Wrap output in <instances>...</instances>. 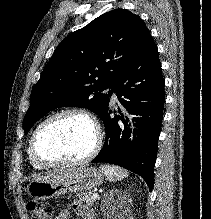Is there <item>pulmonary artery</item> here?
<instances>
[{"label": "pulmonary artery", "mask_w": 211, "mask_h": 219, "mask_svg": "<svg viewBox=\"0 0 211 219\" xmlns=\"http://www.w3.org/2000/svg\"><path fill=\"white\" fill-rule=\"evenodd\" d=\"M110 89H111V88H110ZM116 99H117L116 94L113 92V93H112V100H113V101H116Z\"/></svg>", "instance_id": "1"}]
</instances>
